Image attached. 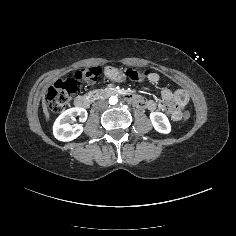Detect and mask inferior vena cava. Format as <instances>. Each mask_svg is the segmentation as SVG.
Wrapping results in <instances>:
<instances>
[{
	"label": "inferior vena cava",
	"instance_id": "obj_1",
	"mask_svg": "<svg viewBox=\"0 0 236 236\" xmlns=\"http://www.w3.org/2000/svg\"><path fill=\"white\" fill-rule=\"evenodd\" d=\"M106 106H107V104L105 101H99V102L94 103L93 109L96 111H100V110H103L104 108H106Z\"/></svg>",
	"mask_w": 236,
	"mask_h": 236
}]
</instances>
